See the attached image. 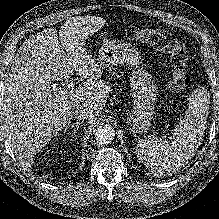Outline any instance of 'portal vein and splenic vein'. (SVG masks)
Returning a JSON list of instances; mask_svg holds the SVG:
<instances>
[{
  "label": "portal vein and splenic vein",
  "instance_id": "obj_1",
  "mask_svg": "<svg viewBox=\"0 0 219 219\" xmlns=\"http://www.w3.org/2000/svg\"><path fill=\"white\" fill-rule=\"evenodd\" d=\"M73 87H74V85H73V83H71V84H68V85L66 86V89L53 87V90H54V91L59 90V92H60L61 94H67V93H68V89L70 90V89L73 88Z\"/></svg>",
  "mask_w": 219,
  "mask_h": 219
}]
</instances>
